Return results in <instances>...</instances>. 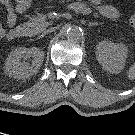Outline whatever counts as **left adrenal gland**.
Instances as JSON below:
<instances>
[{"mask_svg": "<svg viewBox=\"0 0 135 135\" xmlns=\"http://www.w3.org/2000/svg\"><path fill=\"white\" fill-rule=\"evenodd\" d=\"M100 24L101 23H97V22H89L88 27L97 26V25H100Z\"/></svg>", "mask_w": 135, "mask_h": 135, "instance_id": "a2214340", "label": "left adrenal gland"}]
</instances>
